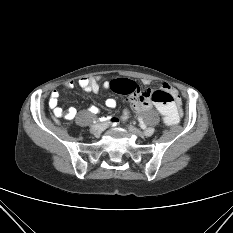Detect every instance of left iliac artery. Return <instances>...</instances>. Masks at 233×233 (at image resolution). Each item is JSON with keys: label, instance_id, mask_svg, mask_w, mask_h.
<instances>
[{"label": "left iliac artery", "instance_id": "44dca946", "mask_svg": "<svg viewBox=\"0 0 233 233\" xmlns=\"http://www.w3.org/2000/svg\"><path fill=\"white\" fill-rule=\"evenodd\" d=\"M154 132V129L153 128H149L147 130L144 131V134L148 137L150 135H152Z\"/></svg>", "mask_w": 233, "mask_h": 233}]
</instances>
